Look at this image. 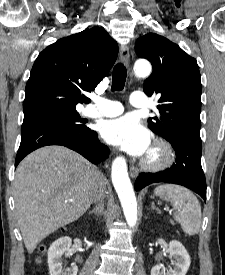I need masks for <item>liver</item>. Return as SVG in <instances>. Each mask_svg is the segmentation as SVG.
Returning a JSON list of instances; mask_svg holds the SVG:
<instances>
[{
  "label": "liver",
  "mask_w": 225,
  "mask_h": 275,
  "mask_svg": "<svg viewBox=\"0 0 225 275\" xmlns=\"http://www.w3.org/2000/svg\"><path fill=\"white\" fill-rule=\"evenodd\" d=\"M99 171L63 146L39 148L19 164L14 180L18 225L28 253L46 236L81 217L93 202Z\"/></svg>",
  "instance_id": "6515ba94"
}]
</instances>
